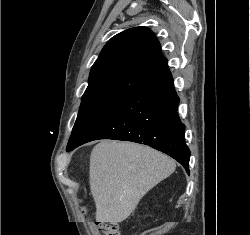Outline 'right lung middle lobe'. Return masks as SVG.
<instances>
[{"label":"right lung middle lobe","mask_w":250,"mask_h":235,"mask_svg":"<svg viewBox=\"0 0 250 235\" xmlns=\"http://www.w3.org/2000/svg\"><path fill=\"white\" fill-rule=\"evenodd\" d=\"M132 95L101 94L82 98L79 113L68 145L75 144L91 128L117 110Z\"/></svg>","instance_id":"right-lung-middle-lobe-1"}]
</instances>
